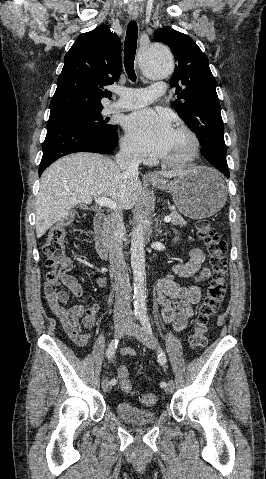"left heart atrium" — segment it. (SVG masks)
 I'll return each mask as SVG.
<instances>
[{"instance_id": "left-heart-atrium-1", "label": "left heart atrium", "mask_w": 266, "mask_h": 479, "mask_svg": "<svg viewBox=\"0 0 266 479\" xmlns=\"http://www.w3.org/2000/svg\"><path fill=\"white\" fill-rule=\"evenodd\" d=\"M124 127L140 150L161 157L169 150L175 133L170 119L151 109L129 114L124 119Z\"/></svg>"}]
</instances>
